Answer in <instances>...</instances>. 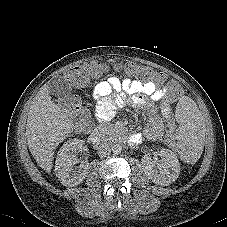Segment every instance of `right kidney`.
Returning a JSON list of instances; mask_svg holds the SVG:
<instances>
[{"label":"right kidney","mask_w":227,"mask_h":227,"mask_svg":"<svg viewBox=\"0 0 227 227\" xmlns=\"http://www.w3.org/2000/svg\"><path fill=\"white\" fill-rule=\"evenodd\" d=\"M84 148V140L72 139L63 144L55 161V174L59 181L68 187L76 186L86 178L89 169L88 162L79 163L76 154Z\"/></svg>","instance_id":"1"}]
</instances>
